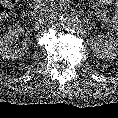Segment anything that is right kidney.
<instances>
[{
  "instance_id": "right-kidney-1",
  "label": "right kidney",
  "mask_w": 118,
  "mask_h": 118,
  "mask_svg": "<svg viewBox=\"0 0 118 118\" xmlns=\"http://www.w3.org/2000/svg\"><path fill=\"white\" fill-rule=\"evenodd\" d=\"M23 31L24 29L18 26L14 29H10L2 38H0V55L3 58H6L8 60H16L22 58L27 53L30 46L29 39L25 40L21 48H11L15 39L18 38L19 35L23 33Z\"/></svg>"
}]
</instances>
